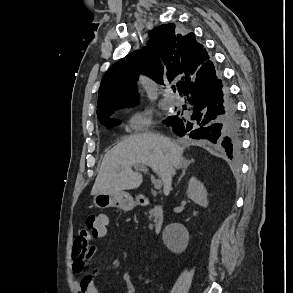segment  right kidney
Segmentation results:
<instances>
[{
  "label": "right kidney",
  "instance_id": "1",
  "mask_svg": "<svg viewBox=\"0 0 293 293\" xmlns=\"http://www.w3.org/2000/svg\"><path fill=\"white\" fill-rule=\"evenodd\" d=\"M187 196L196 204L207 207V191L204 185L195 177L189 181L187 188ZM189 234L187 230L179 225H170L163 232V242L167 248L173 252H181L187 246Z\"/></svg>",
  "mask_w": 293,
  "mask_h": 293
}]
</instances>
